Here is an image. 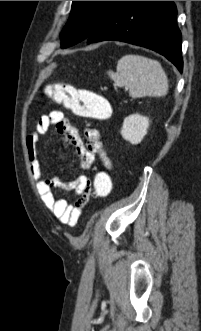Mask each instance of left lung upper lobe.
Returning <instances> with one entry per match:
<instances>
[{
  "label": "left lung upper lobe",
  "instance_id": "obj_1",
  "mask_svg": "<svg viewBox=\"0 0 201 331\" xmlns=\"http://www.w3.org/2000/svg\"><path fill=\"white\" fill-rule=\"evenodd\" d=\"M120 1H73L67 24L61 33L66 48L87 39Z\"/></svg>",
  "mask_w": 201,
  "mask_h": 331
}]
</instances>
